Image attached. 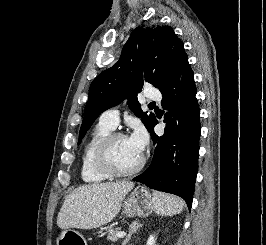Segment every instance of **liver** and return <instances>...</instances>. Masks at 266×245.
<instances>
[{"mask_svg": "<svg viewBox=\"0 0 266 245\" xmlns=\"http://www.w3.org/2000/svg\"><path fill=\"white\" fill-rule=\"evenodd\" d=\"M134 183H93L74 189L57 217L60 229H96L120 213L121 203Z\"/></svg>", "mask_w": 266, "mask_h": 245, "instance_id": "6515ba94", "label": "liver"}]
</instances>
